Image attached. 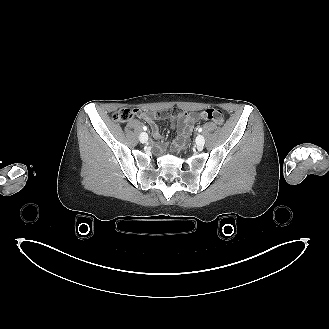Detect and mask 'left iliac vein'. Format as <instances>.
Masks as SVG:
<instances>
[{"label": "left iliac vein", "instance_id": "4c4485c4", "mask_svg": "<svg viewBox=\"0 0 329 329\" xmlns=\"http://www.w3.org/2000/svg\"><path fill=\"white\" fill-rule=\"evenodd\" d=\"M204 144H205V138H204V136L198 135L196 137V145H197V147L198 148H201V147L204 146Z\"/></svg>", "mask_w": 329, "mask_h": 329}]
</instances>
